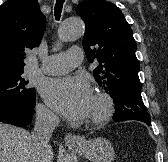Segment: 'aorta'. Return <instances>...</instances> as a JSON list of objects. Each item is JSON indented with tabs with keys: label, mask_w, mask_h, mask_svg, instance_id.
<instances>
[{
	"label": "aorta",
	"mask_w": 168,
	"mask_h": 162,
	"mask_svg": "<svg viewBox=\"0 0 168 162\" xmlns=\"http://www.w3.org/2000/svg\"><path fill=\"white\" fill-rule=\"evenodd\" d=\"M84 34L83 22L79 18L66 19L58 30L59 39L63 42L74 41Z\"/></svg>",
	"instance_id": "762f6f07"
}]
</instances>
